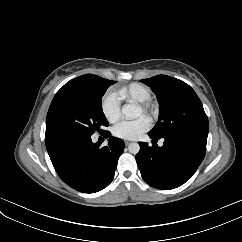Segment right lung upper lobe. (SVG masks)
<instances>
[{
    "label": "right lung upper lobe",
    "instance_id": "1",
    "mask_svg": "<svg viewBox=\"0 0 242 242\" xmlns=\"http://www.w3.org/2000/svg\"><path fill=\"white\" fill-rule=\"evenodd\" d=\"M107 79L93 74H85L67 82L62 88L93 89L106 83Z\"/></svg>",
    "mask_w": 242,
    "mask_h": 242
}]
</instances>
